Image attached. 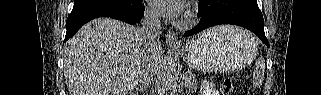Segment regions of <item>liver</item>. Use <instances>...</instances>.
Here are the masks:
<instances>
[{
  "instance_id": "1",
  "label": "liver",
  "mask_w": 321,
  "mask_h": 95,
  "mask_svg": "<svg viewBox=\"0 0 321 95\" xmlns=\"http://www.w3.org/2000/svg\"><path fill=\"white\" fill-rule=\"evenodd\" d=\"M222 27L211 31L222 32ZM162 48L155 52L157 73ZM148 60L140 29L98 18L83 26L64 47V78L70 95H128Z\"/></svg>"
}]
</instances>
